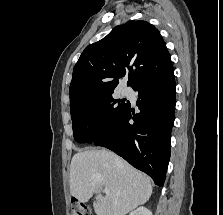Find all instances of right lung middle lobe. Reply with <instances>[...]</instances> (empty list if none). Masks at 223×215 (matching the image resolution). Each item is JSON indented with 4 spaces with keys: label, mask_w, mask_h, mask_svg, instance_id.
Returning <instances> with one entry per match:
<instances>
[{
    "label": "right lung middle lobe",
    "mask_w": 223,
    "mask_h": 215,
    "mask_svg": "<svg viewBox=\"0 0 223 215\" xmlns=\"http://www.w3.org/2000/svg\"><path fill=\"white\" fill-rule=\"evenodd\" d=\"M129 102L112 94L70 109L73 135L79 143H93L109 133L124 116Z\"/></svg>",
    "instance_id": "obj_1"
}]
</instances>
